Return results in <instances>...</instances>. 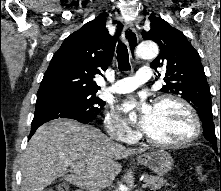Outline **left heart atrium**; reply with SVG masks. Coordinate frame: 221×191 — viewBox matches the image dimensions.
<instances>
[{
  "label": "left heart atrium",
  "instance_id": "39dd6f15",
  "mask_svg": "<svg viewBox=\"0 0 221 191\" xmlns=\"http://www.w3.org/2000/svg\"><path fill=\"white\" fill-rule=\"evenodd\" d=\"M118 110L123 116L136 113L138 127L146 132L153 116L154 107L143 99L130 98L122 101L118 106Z\"/></svg>",
  "mask_w": 221,
  "mask_h": 191
}]
</instances>
